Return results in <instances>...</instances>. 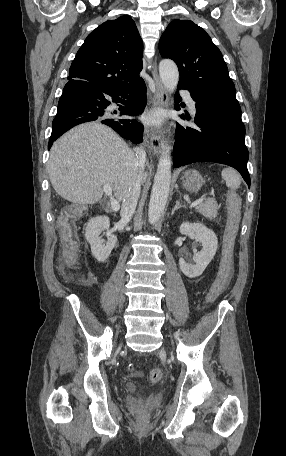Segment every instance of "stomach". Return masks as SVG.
Segmentation results:
<instances>
[{
	"mask_svg": "<svg viewBox=\"0 0 286 456\" xmlns=\"http://www.w3.org/2000/svg\"><path fill=\"white\" fill-rule=\"evenodd\" d=\"M181 179L183 187L189 192H198L204 183L202 175L194 169L187 170Z\"/></svg>",
	"mask_w": 286,
	"mask_h": 456,
	"instance_id": "0dacf381",
	"label": "stomach"
}]
</instances>
